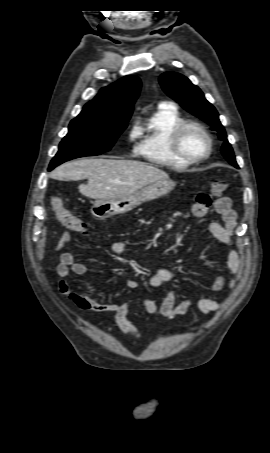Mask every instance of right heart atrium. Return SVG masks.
<instances>
[{
	"label": "right heart atrium",
	"instance_id": "1",
	"mask_svg": "<svg viewBox=\"0 0 270 453\" xmlns=\"http://www.w3.org/2000/svg\"><path fill=\"white\" fill-rule=\"evenodd\" d=\"M138 135H139V128L137 126H133L130 131L129 138L131 140H134Z\"/></svg>",
	"mask_w": 270,
	"mask_h": 453
}]
</instances>
